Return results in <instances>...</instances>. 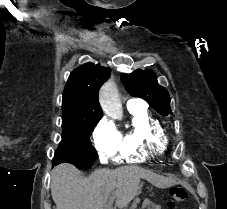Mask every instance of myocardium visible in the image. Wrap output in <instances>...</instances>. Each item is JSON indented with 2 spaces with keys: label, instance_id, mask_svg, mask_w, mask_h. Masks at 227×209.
I'll use <instances>...</instances> for the list:
<instances>
[{
  "label": "myocardium",
  "instance_id": "f54148a6",
  "mask_svg": "<svg viewBox=\"0 0 227 209\" xmlns=\"http://www.w3.org/2000/svg\"><path fill=\"white\" fill-rule=\"evenodd\" d=\"M163 138H164V140L166 141V142H168L169 140H170V137H172V135L171 134H168V133H166V131L163 129Z\"/></svg>",
  "mask_w": 227,
  "mask_h": 209
}]
</instances>
